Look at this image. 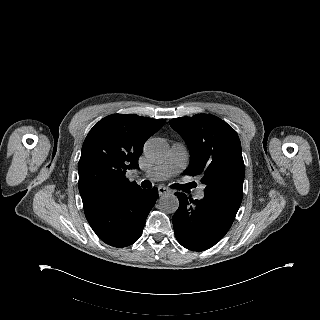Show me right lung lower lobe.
<instances>
[{"label":"right lung lower lobe","instance_id":"obj_1","mask_svg":"<svg viewBox=\"0 0 320 320\" xmlns=\"http://www.w3.org/2000/svg\"><path fill=\"white\" fill-rule=\"evenodd\" d=\"M157 198V188L137 187L84 212L102 241L114 247H126L140 237Z\"/></svg>","mask_w":320,"mask_h":320}]
</instances>
